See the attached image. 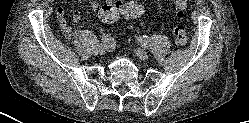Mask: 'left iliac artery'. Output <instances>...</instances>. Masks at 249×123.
Wrapping results in <instances>:
<instances>
[{
  "mask_svg": "<svg viewBox=\"0 0 249 123\" xmlns=\"http://www.w3.org/2000/svg\"><path fill=\"white\" fill-rule=\"evenodd\" d=\"M138 41L144 48H148L150 45V39L148 36H141L138 38Z\"/></svg>",
  "mask_w": 249,
  "mask_h": 123,
  "instance_id": "44dca946",
  "label": "left iliac artery"
}]
</instances>
